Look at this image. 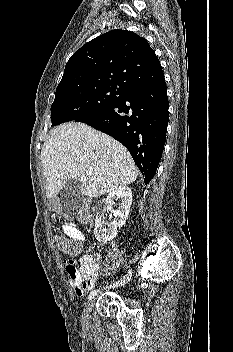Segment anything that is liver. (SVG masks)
I'll list each match as a JSON object with an SVG mask.
<instances>
[{
	"label": "liver",
	"mask_w": 233,
	"mask_h": 352,
	"mask_svg": "<svg viewBox=\"0 0 233 352\" xmlns=\"http://www.w3.org/2000/svg\"><path fill=\"white\" fill-rule=\"evenodd\" d=\"M41 162L48 199H54L70 179L79 180L82 195L99 197L138 176L129 151L121 143L84 123L55 128L42 147Z\"/></svg>",
	"instance_id": "obj_1"
}]
</instances>
